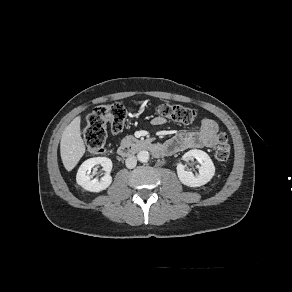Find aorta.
<instances>
[{"mask_svg":"<svg viewBox=\"0 0 292 292\" xmlns=\"http://www.w3.org/2000/svg\"><path fill=\"white\" fill-rule=\"evenodd\" d=\"M137 158L140 162L146 163L149 160V152L146 150H141L138 152Z\"/></svg>","mask_w":292,"mask_h":292,"instance_id":"762f6f07","label":"aorta"}]
</instances>
